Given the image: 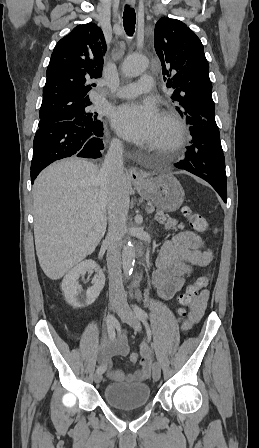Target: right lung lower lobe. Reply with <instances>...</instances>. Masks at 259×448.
Returning a JSON list of instances; mask_svg holds the SVG:
<instances>
[{"label": "right lung lower lobe", "instance_id": "right-lung-lower-lobe-1", "mask_svg": "<svg viewBox=\"0 0 259 448\" xmlns=\"http://www.w3.org/2000/svg\"><path fill=\"white\" fill-rule=\"evenodd\" d=\"M103 124L94 128L76 125L73 121L56 122L37 130L31 162L32 184L38 174L52 162L76 155L99 158L104 149Z\"/></svg>", "mask_w": 259, "mask_h": 448}]
</instances>
